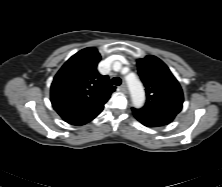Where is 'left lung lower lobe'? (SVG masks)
Segmentation results:
<instances>
[{"mask_svg":"<svg viewBox=\"0 0 222 187\" xmlns=\"http://www.w3.org/2000/svg\"><path fill=\"white\" fill-rule=\"evenodd\" d=\"M134 116L145 126L159 127L170 123L177 113L167 111H153L144 108L132 109Z\"/></svg>","mask_w":222,"mask_h":187,"instance_id":"obj_1","label":"left lung lower lobe"}]
</instances>
